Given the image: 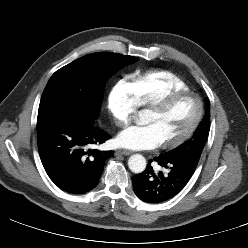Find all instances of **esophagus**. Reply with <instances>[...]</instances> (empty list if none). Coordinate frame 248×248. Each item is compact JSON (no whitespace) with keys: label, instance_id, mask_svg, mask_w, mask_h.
Here are the masks:
<instances>
[{"label":"esophagus","instance_id":"obj_1","mask_svg":"<svg viewBox=\"0 0 248 248\" xmlns=\"http://www.w3.org/2000/svg\"><path fill=\"white\" fill-rule=\"evenodd\" d=\"M130 154H131V152L128 150H117L115 152V155H130Z\"/></svg>","mask_w":248,"mask_h":248}]
</instances>
